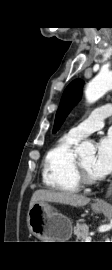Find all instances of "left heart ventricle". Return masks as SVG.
I'll return each mask as SVG.
<instances>
[{
  "instance_id": "obj_1",
  "label": "left heart ventricle",
  "mask_w": 112,
  "mask_h": 270,
  "mask_svg": "<svg viewBox=\"0 0 112 270\" xmlns=\"http://www.w3.org/2000/svg\"><path fill=\"white\" fill-rule=\"evenodd\" d=\"M79 160L82 166L84 167V169L87 171V173L93 177H96L92 172V163L94 161V156L90 155V156L82 157V158H79Z\"/></svg>"
}]
</instances>
